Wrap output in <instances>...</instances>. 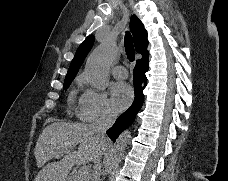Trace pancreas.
<instances>
[{"label":"pancreas","instance_id":"pancreas-1","mask_svg":"<svg viewBox=\"0 0 228 181\" xmlns=\"http://www.w3.org/2000/svg\"><path fill=\"white\" fill-rule=\"evenodd\" d=\"M81 173H79V169H74L71 173V177L67 179V181H89L90 175H81L83 179H78L80 177Z\"/></svg>","mask_w":228,"mask_h":181}]
</instances>
